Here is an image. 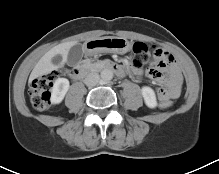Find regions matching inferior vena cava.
Wrapping results in <instances>:
<instances>
[{"label": "inferior vena cava", "mask_w": 219, "mask_h": 174, "mask_svg": "<svg viewBox=\"0 0 219 174\" xmlns=\"http://www.w3.org/2000/svg\"><path fill=\"white\" fill-rule=\"evenodd\" d=\"M99 80H100L99 74L95 72H91L85 77L84 83L89 87H93L98 84Z\"/></svg>", "instance_id": "obj_1"}]
</instances>
